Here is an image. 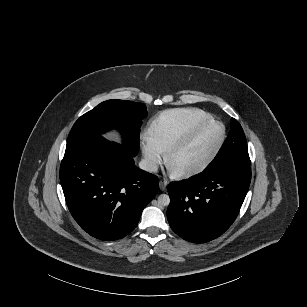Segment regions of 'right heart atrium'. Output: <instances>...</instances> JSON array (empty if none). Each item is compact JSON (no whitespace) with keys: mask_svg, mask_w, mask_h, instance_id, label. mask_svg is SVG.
Returning <instances> with one entry per match:
<instances>
[{"mask_svg":"<svg viewBox=\"0 0 307 307\" xmlns=\"http://www.w3.org/2000/svg\"><path fill=\"white\" fill-rule=\"evenodd\" d=\"M140 147L144 167L150 172H155L164 158L162 150L152 139H148L144 136L141 137Z\"/></svg>","mask_w":307,"mask_h":307,"instance_id":"obj_1","label":"right heart atrium"}]
</instances>
